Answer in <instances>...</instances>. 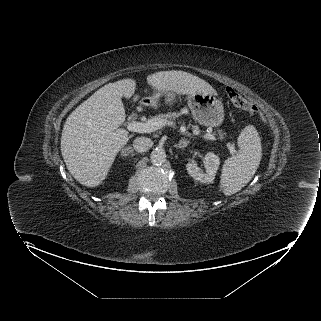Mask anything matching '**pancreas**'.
<instances>
[{
	"instance_id": "cf45deb5",
	"label": "pancreas",
	"mask_w": 321,
	"mask_h": 321,
	"mask_svg": "<svg viewBox=\"0 0 321 321\" xmlns=\"http://www.w3.org/2000/svg\"><path fill=\"white\" fill-rule=\"evenodd\" d=\"M181 113H172V112H168L166 114H159L157 116L152 117V119H160V120H164L166 122L171 121L172 119H175L176 117L180 116ZM192 129L195 131H199V127L198 126H192ZM221 133V131H219Z\"/></svg>"
}]
</instances>
